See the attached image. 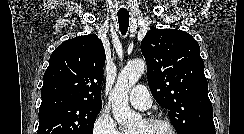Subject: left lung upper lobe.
<instances>
[{"label": "left lung upper lobe", "mask_w": 244, "mask_h": 134, "mask_svg": "<svg viewBox=\"0 0 244 134\" xmlns=\"http://www.w3.org/2000/svg\"><path fill=\"white\" fill-rule=\"evenodd\" d=\"M150 90L178 134L215 130L198 42L187 32L151 29L141 42Z\"/></svg>", "instance_id": "obj_1"}]
</instances>
